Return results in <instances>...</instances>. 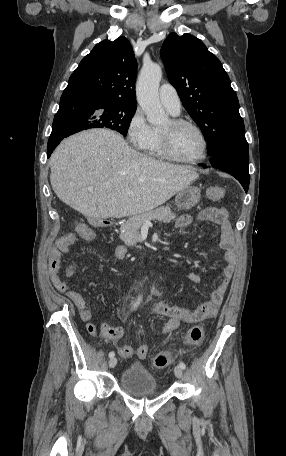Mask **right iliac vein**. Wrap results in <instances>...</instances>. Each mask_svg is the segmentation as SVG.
Returning a JSON list of instances; mask_svg holds the SVG:
<instances>
[{"instance_id": "obj_1", "label": "right iliac vein", "mask_w": 286, "mask_h": 456, "mask_svg": "<svg viewBox=\"0 0 286 456\" xmlns=\"http://www.w3.org/2000/svg\"><path fill=\"white\" fill-rule=\"evenodd\" d=\"M117 364V359L115 357H112L110 360H109V367L110 368H114Z\"/></svg>"}]
</instances>
